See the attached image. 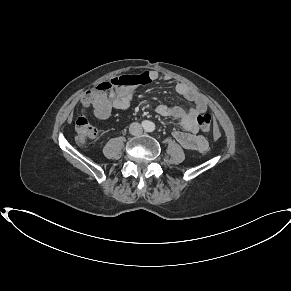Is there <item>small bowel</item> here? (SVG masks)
<instances>
[{
  "label": "small bowel",
  "instance_id": "obj_1",
  "mask_svg": "<svg viewBox=\"0 0 291 291\" xmlns=\"http://www.w3.org/2000/svg\"><path fill=\"white\" fill-rule=\"evenodd\" d=\"M140 80H157L159 74L156 71L145 72L139 76ZM164 80H169L170 76L165 75ZM176 92L194 105L188 109H183L178 106H168L159 104L156 107V112L163 117H173L179 120L180 126L184 131H174L173 137L186 149L204 152L207 150V140L198 134L199 127L197 117L207 110L206 101L197 94L191 87L185 83H178L175 87ZM135 89L132 86L119 88L111 92L109 97L93 100L94 115L99 119H104L109 116L112 108L125 110L130 107ZM93 94L88 93L83 99L91 97Z\"/></svg>",
  "mask_w": 291,
  "mask_h": 291
}]
</instances>
